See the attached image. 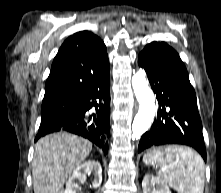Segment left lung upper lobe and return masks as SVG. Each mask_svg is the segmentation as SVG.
I'll return each mask as SVG.
<instances>
[{"label":"left lung upper lobe","mask_w":221,"mask_h":193,"mask_svg":"<svg viewBox=\"0 0 221 193\" xmlns=\"http://www.w3.org/2000/svg\"><path fill=\"white\" fill-rule=\"evenodd\" d=\"M159 43H163V44H166V43H164V42H159ZM167 45V44H166ZM174 118H176V115L174 116Z\"/></svg>","instance_id":"left-lung-upper-lobe-1"}]
</instances>
